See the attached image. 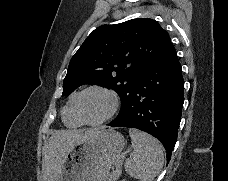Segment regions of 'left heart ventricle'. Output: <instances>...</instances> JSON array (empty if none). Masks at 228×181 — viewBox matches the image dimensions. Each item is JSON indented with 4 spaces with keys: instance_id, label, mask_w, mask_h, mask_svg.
Listing matches in <instances>:
<instances>
[{
    "instance_id": "1",
    "label": "left heart ventricle",
    "mask_w": 228,
    "mask_h": 181,
    "mask_svg": "<svg viewBox=\"0 0 228 181\" xmlns=\"http://www.w3.org/2000/svg\"><path fill=\"white\" fill-rule=\"evenodd\" d=\"M108 105L107 97L99 92H88L79 100V108L89 120H95L102 115Z\"/></svg>"
}]
</instances>
